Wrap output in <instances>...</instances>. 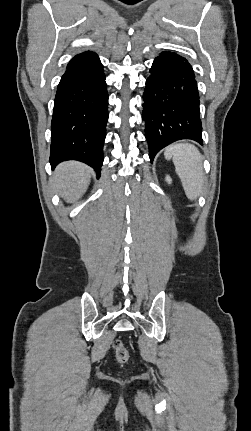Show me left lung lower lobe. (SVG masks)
I'll return each instance as SVG.
<instances>
[{
	"instance_id": "left-lung-lower-lobe-1",
	"label": "left lung lower lobe",
	"mask_w": 251,
	"mask_h": 431,
	"mask_svg": "<svg viewBox=\"0 0 251 431\" xmlns=\"http://www.w3.org/2000/svg\"><path fill=\"white\" fill-rule=\"evenodd\" d=\"M143 94L145 136L151 163L165 146L180 139L202 144L197 82L188 61L162 52L153 62Z\"/></svg>"
}]
</instances>
